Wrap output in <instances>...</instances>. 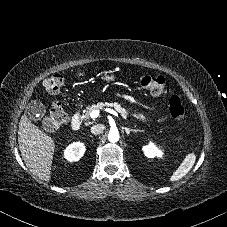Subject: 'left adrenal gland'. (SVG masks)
<instances>
[{"instance_id":"obj_1","label":"left adrenal gland","mask_w":227,"mask_h":227,"mask_svg":"<svg viewBox=\"0 0 227 227\" xmlns=\"http://www.w3.org/2000/svg\"><path fill=\"white\" fill-rule=\"evenodd\" d=\"M124 130H125L127 135H129L130 132H140L141 131L139 129H130V128H127V127H125Z\"/></svg>"}]
</instances>
